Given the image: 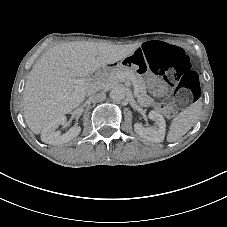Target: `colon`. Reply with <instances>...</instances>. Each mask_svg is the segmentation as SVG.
Returning a JSON list of instances; mask_svg holds the SVG:
<instances>
[{"mask_svg": "<svg viewBox=\"0 0 227 227\" xmlns=\"http://www.w3.org/2000/svg\"><path fill=\"white\" fill-rule=\"evenodd\" d=\"M142 48L148 67H142L138 56L134 55L139 70L160 75L174 88L173 98H164L160 102V109L165 115L172 116L178 107L199 98L198 74L192 69V60L182 48L157 41L148 42Z\"/></svg>", "mask_w": 227, "mask_h": 227, "instance_id": "1", "label": "colon"}]
</instances>
